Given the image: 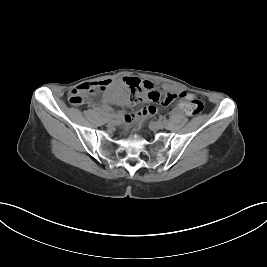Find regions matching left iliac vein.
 Masks as SVG:
<instances>
[{"instance_id":"4c4485c4","label":"left iliac vein","mask_w":267,"mask_h":267,"mask_svg":"<svg viewBox=\"0 0 267 267\" xmlns=\"http://www.w3.org/2000/svg\"><path fill=\"white\" fill-rule=\"evenodd\" d=\"M164 123L161 121H157V122H152L151 123V127L155 128V129H163L164 128Z\"/></svg>"}]
</instances>
